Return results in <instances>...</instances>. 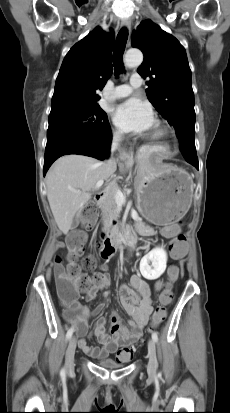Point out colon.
<instances>
[{
    "label": "colon",
    "instance_id": "colon-1",
    "mask_svg": "<svg viewBox=\"0 0 230 413\" xmlns=\"http://www.w3.org/2000/svg\"><path fill=\"white\" fill-rule=\"evenodd\" d=\"M97 210L94 205H86L81 213L80 228L72 233L67 238V246L69 253L67 255V265H63L59 257L54 261L53 273L55 277V284L57 293L60 299L72 305L75 301L78 292L90 290L95 285L101 282V275L95 272L89 275L82 271L78 264V258L87 243L86 231L91 229L96 221ZM190 246V241L186 239L184 234L177 235L171 242L172 257L179 259L184 255V249ZM96 267V259L94 256H87L84 259V269L92 270ZM179 276V267L177 264H171L168 268V278H163L162 285L164 291L160 294V305L156 308L152 323L153 326L160 324L166 317V306L172 301L171 287H174L175 281ZM133 347H126L124 349V357L129 360L133 355Z\"/></svg>",
    "mask_w": 230,
    "mask_h": 413
}]
</instances>
